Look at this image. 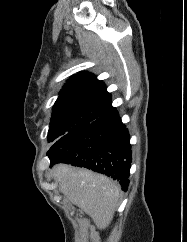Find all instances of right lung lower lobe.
Segmentation results:
<instances>
[{
  "label": "right lung lower lobe",
  "mask_w": 187,
  "mask_h": 242,
  "mask_svg": "<svg viewBox=\"0 0 187 242\" xmlns=\"http://www.w3.org/2000/svg\"><path fill=\"white\" fill-rule=\"evenodd\" d=\"M50 167L58 162L86 167L129 185L131 145L117 110L109 106L94 121L59 138L47 152Z\"/></svg>",
  "instance_id": "right-lung-lower-lobe-1"
}]
</instances>
